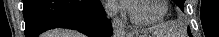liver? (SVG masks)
<instances>
[{
	"label": "liver",
	"mask_w": 219,
	"mask_h": 37,
	"mask_svg": "<svg viewBox=\"0 0 219 37\" xmlns=\"http://www.w3.org/2000/svg\"><path fill=\"white\" fill-rule=\"evenodd\" d=\"M45 35L50 37H83L82 34L80 33L66 31V30H54Z\"/></svg>",
	"instance_id": "1"
}]
</instances>
